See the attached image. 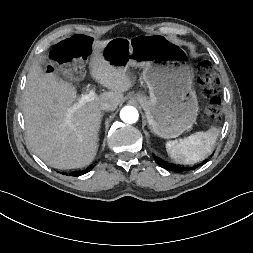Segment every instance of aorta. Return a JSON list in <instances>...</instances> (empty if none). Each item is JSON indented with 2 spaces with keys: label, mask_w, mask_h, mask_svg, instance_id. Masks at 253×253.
Instances as JSON below:
<instances>
[{
  "label": "aorta",
  "mask_w": 253,
  "mask_h": 253,
  "mask_svg": "<svg viewBox=\"0 0 253 253\" xmlns=\"http://www.w3.org/2000/svg\"><path fill=\"white\" fill-rule=\"evenodd\" d=\"M120 118L123 122L128 124L136 123L139 119V113L133 106H125L120 111Z\"/></svg>",
  "instance_id": "aorta-1"
}]
</instances>
